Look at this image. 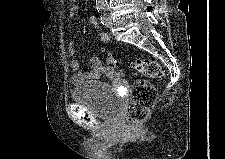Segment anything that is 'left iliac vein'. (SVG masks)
Returning <instances> with one entry per match:
<instances>
[{
  "mask_svg": "<svg viewBox=\"0 0 225 159\" xmlns=\"http://www.w3.org/2000/svg\"><path fill=\"white\" fill-rule=\"evenodd\" d=\"M106 25H107L108 28H111V26H112V18L111 17H108Z\"/></svg>",
  "mask_w": 225,
  "mask_h": 159,
  "instance_id": "left-iliac-vein-1",
  "label": "left iliac vein"
}]
</instances>
